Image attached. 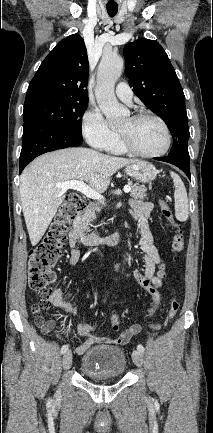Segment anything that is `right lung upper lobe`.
Instances as JSON below:
<instances>
[{"label": "right lung upper lobe", "instance_id": "1", "mask_svg": "<svg viewBox=\"0 0 213 433\" xmlns=\"http://www.w3.org/2000/svg\"><path fill=\"white\" fill-rule=\"evenodd\" d=\"M88 57L83 38L73 34L61 40L41 63L26 97L54 95L88 99Z\"/></svg>", "mask_w": 213, "mask_h": 433}]
</instances>
